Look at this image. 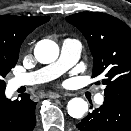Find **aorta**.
I'll list each match as a JSON object with an SVG mask.
<instances>
[{"label": "aorta", "mask_w": 131, "mask_h": 131, "mask_svg": "<svg viewBox=\"0 0 131 131\" xmlns=\"http://www.w3.org/2000/svg\"><path fill=\"white\" fill-rule=\"evenodd\" d=\"M34 54L40 63L48 64L58 58L59 47L54 41L41 40L36 44ZM87 110L88 105L82 98H73L68 102L67 111L73 118H82Z\"/></svg>", "instance_id": "1"}]
</instances>
